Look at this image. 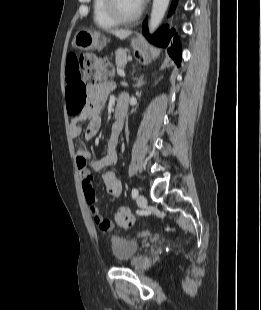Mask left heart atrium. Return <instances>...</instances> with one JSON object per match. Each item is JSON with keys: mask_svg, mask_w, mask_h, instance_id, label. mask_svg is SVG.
Here are the masks:
<instances>
[{"mask_svg": "<svg viewBox=\"0 0 261 310\" xmlns=\"http://www.w3.org/2000/svg\"><path fill=\"white\" fill-rule=\"evenodd\" d=\"M138 5L141 7L143 5V3L145 2V0H136Z\"/></svg>", "mask_w": 261, "mask_h": 310, "instance_id": "39dd6f15", "label": "left heart atrium"}]
</instances>
